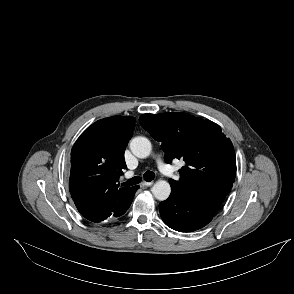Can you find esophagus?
<instances>
[{
	"label": "esophagus",
	"instance_id": "1",
	"mask_svg": "<svg viewBox=\"0 0 294 294\" xmlns=\"http://www.w3.org/2000/svg\"><path fill=\"white\" fill-rule=\"evenodd\" d=\"M152 185H153V181H150V182L144 181V182L141 183L142 187H149V186H152Z\"/></svg>",
	"mask_w": 294,
	"mask_h": 294
}]
</instances>
